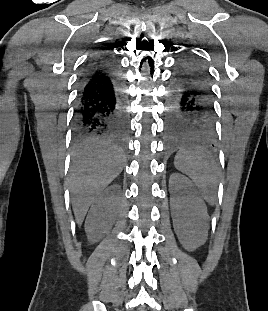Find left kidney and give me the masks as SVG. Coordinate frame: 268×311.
<instances>
[{
    "label": "left kidney",
    "mask_w": 268,
    "mask_h": 311,
    "mask_svg": "<svg viewBox=\"0 0 268 311\" xmlns=\"http://www.w3.org/2000/svg\"><path fill=\"white\" fill-rule=\"evenodd\" d=\"M170 206L175 233L188 251H194L207 238V208L193 183L185 176H170Z\"/></svg>",
    "instance_id": "left-kidney-1"
}]
</instances>
